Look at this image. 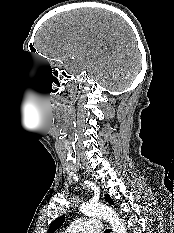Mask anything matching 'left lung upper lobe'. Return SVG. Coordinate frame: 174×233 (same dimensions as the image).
Returning a JSON list of instances; mask_svg holds the SVG:
<instances>
[{"label": "left lung upper lobe", "mask_w": 174, "mask_h": 233, "mask_svg": "<svg viewBox=\"0 0 174 233\" xmlns=\"http://www.w3.org/2000/svg\"><path fill=\"white\" fill-rule=\"evenodd\" d=\"M106 202H109L110 204H114L113 200L110 198L108 194L105 195ZM65 216H60L56 218L50 225L47 233H54L60 226L64 223Z\"/></svg>", "instance_id": "obj_1"}]
</instances>
